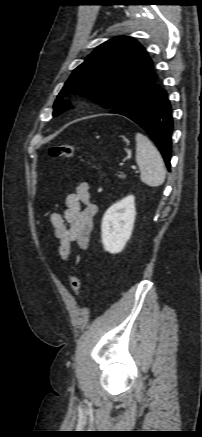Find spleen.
I'll return each instance as SVG.
<instances>
[{"label": "spleen", "mask_w": 202, "mask_h": 437, "mask_svg": "<svg viewBox=\"0 0 202 437\" xmlns=\"http://www.w3.org/2000/svg\"><path fill=\"white\" fill-rule=\"evenodd\" d=\"M135 139L136 162L140 169L141 181L150 187L161 186L165 180L166 170L160 153L143 134L137 133Z\"/></svg>", "instance_id": "obj_1"}]
</instances>
